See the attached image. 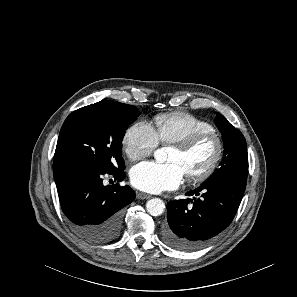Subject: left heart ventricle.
I'll list each match as a JSON object with an SVG mask.
<instances>
[{"label":"left heart ventricle","instance_id":"left-heart-ventricle-1","mask_svg":"<svg viewBox=\"0 0 297 297\" xmlns=\"http://www.w3.org/2000/svg\"><path fill=\"white\" fill-rule=\"evenodd\" d=\"M217 151V145L211 138L204 140L188 152H183L171 147L167 161L181 165L185 176L202 172L213 160Z\"/></svg>","mask_w":297,"mask_h":297}]
</instances>
